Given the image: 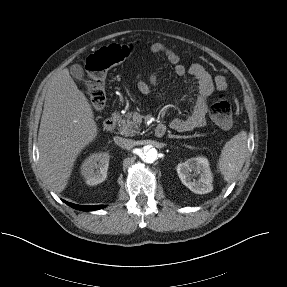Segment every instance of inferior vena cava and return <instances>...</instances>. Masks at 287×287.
<instances>
[{"mask_svg": "<svg viewBox=\"0 0 287 287\" xmlns=\"http://www.w3.org/2000/svg\"><path fill=\"white\" fill-rule=\"evenodd\" d=\"M114 142L123 149L130 150L134 147V141L131 139L116 136L114 137Z\"/></svg>", "mask_w": 287, "mask_h": 287, "instance_id": "1", "label": "inferior vena cava"}]
</instances>
